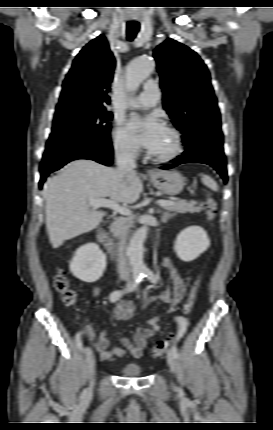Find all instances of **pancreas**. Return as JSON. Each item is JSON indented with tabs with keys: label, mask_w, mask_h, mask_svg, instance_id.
Segmentation results:
<instances>
[{
	"label": "pancreas",
	"mask_w": 273,
	"mask_h": 430,
	"mask_svg": "<svg viewBox=\"0 0 273 430\" xmlns=\"http://www.w3.org/2000/svg\"><path fill=\"white\" fill-rule=\"evenodd\" d=\"M204 203L198 204L196 201L187 202L186 200H177L174 205L165 206L164 208L168 211L178 212V213H200L203 210ZM134 224V217L129 215L127 217H119L115 220L114 235L119 236L124 230H127L130 226Z\"/></svg>",
	"instance_id": "obj_1"
}]
</instances>
